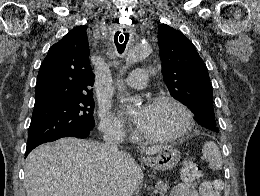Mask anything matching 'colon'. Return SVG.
I'll use <instances>...</instances> for the list:
<instances>
[{
    "instance_id": "1",
    "label": "colon",
    "mask_w": 260,
    "mask_h": 196,
    "mask_svg": "<svg viewBox=\"0 0 260 196\" xmlns=\"http://www.w3.org/2000/svg\"><path fill=\"white\" fill-rule=\"evenodd\" d=\"M181 180L183 183L192 185H203L205 178L200 165L192 160H185L181 169ZM221 194V192H218Z\"/></svg>"
}]
</instances>
